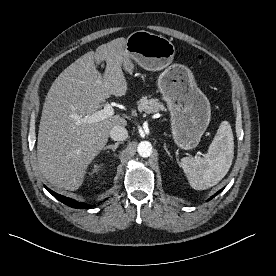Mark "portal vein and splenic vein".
<instances>
[{
    "mask_svg": "<svg viewBox=\"0 0 276 276\" xmlns=\"http://www.w3.org/2000/svg\"><path fill=\"white\" fill-rule=\"evenodd\" d=\"M114 115V108L113 105L110 103H107L103 109L96 111L93 114L85 116L82 121L88 122V123H95L101 120H104L108 117H111Z\"/></svg>",
    "mask_w": 276,
    "mask_h": 276,
    "instance_id": "obj_1",
    "label": "portal vein and splenic vein"
}]
</instances>
